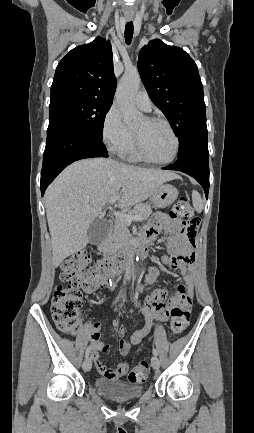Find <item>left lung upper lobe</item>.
Here are the masks:
<instances>
[{"label":"left lung upper lobe","instance_id":"5c2ea615","mask_svg":"<svg viewBox=\"0 0 254 433\" xmlns=\"http://www.w3.org/2000/svg\"><path fill=\"white\" fill-rule=\"evenodd\" d=\"M137 66L151 100L178 136L179 156L207 148L203 85L192 58L156 39L140 50Z\"/></svg>","mask_w":254,"mask_h":433}]
</instances>
